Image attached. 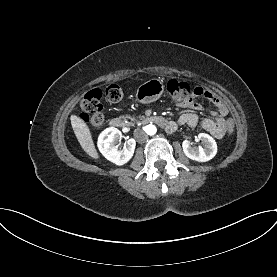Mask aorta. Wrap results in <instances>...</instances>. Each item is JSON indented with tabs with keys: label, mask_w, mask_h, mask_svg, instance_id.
I'll return each mask as SVG.
<instances>
[{
	"label": "aorta",
	"mask_w": 277,
	"mask_h": 277,
	"mask_svg": "<svg viewBox=\"0 0 277 277\" xmlns=\"http://www.w3.org/2000/svg\"><path fill=\"white\" fill-rule=\"evenodd\" d=\"M144 130L148 135H155L157 132L156 126L152 124L147 125Z\"/></svg>",
	"instance_id": "762f6f07"
}]
</instances>
